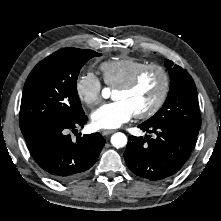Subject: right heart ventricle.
I'll return each mask as SVG.
<instances>
[{"mask_svg": "<svg viewBox=\"0 0 221 221\" xmlns=\"http://www.w3.org/2000/svg\"><path fill=\"white\" fill-rule=\"evenodd\" d=\"M146 64V62L133 57H123L101 63L100 70L105 84L116 88Z\"/></svg>", "mask_w": 221, "mask_h": 221, "instance_id": "right-heart-ventricle-1", "label": "right heart ventricle"}]
</instances>
